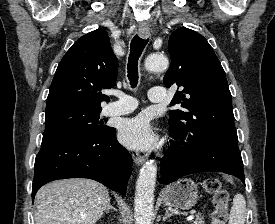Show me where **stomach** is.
I'll return each mask as SVG.
<instances>
[{
	"mask_svg": "<svg viewBox=\"0 0 275 224\" xmlns=\"http://www.w3.org/2000/svg\"><path fill=\"white\" fill-rule=\"evenodd\" d=\"M162 200L168 207L181 210L191 209L198 200L197 185L191 179L182 178L164 188Z\"/></svg>",
	"mask_w": 275,
	"mask_h": 224,
	"instance_id": "obj_1",
	"label": "stomach"
}]
</instances>
